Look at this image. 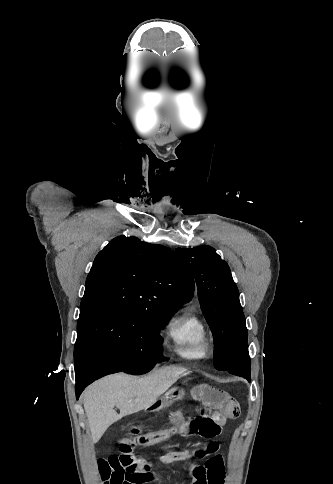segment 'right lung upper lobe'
Wrapping results in <instances>:
<instances>
[{"mask_svg":"<svg viewBox=\"0 0 333 484\" xmlns=\"http://www.w3.org/2000/svg\"><path fill=\"white\" fill-rule=\"evenodd\" d=\"M80 307L123 306L174 312L190 301L194 280L178 254L137 237L119 236L96 256Z\"/></svg>","mask_w":333,"mask_h":484,"instance_id":"obj_1","label":"right lung upper lobe"}]
</instances>
